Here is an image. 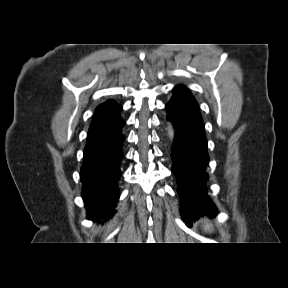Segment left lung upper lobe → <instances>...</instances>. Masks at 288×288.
Wrapping results in <instances>:
<instances>
[{"instance_id": "1", "label": "left lung upper lobe", "mask_w": 288, "mask_h": 288, "mask_svg": "<svg viewBox=\"0 0 288 288\" xmlns=\"http://www.w3.org/2000/svg\"><path fill=\"white\" fill-rule=\"evenodd\" d=\"M182 88H186V87L183 85H177L174 89H182Z\"/></svg>"}]
</instances>
